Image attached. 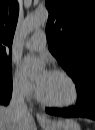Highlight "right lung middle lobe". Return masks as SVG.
Returning a JSON list of instances; mask_svg holds the SVG:
<instances>
[{
	"instance_id": "1",
	"label": "right lung middle lobe",
	"mask_w": 95,
	"mask_h": 130,
	"mask_svg": "<svg viewBox=\"0 0 95 130\" xmlns=\"http://www.w3.org/2000/svg\"><path fill=\"white\" fill-rule=\"evenodd\" d=\"M0 57V87L12 84V68L10 59Z\"/></svg>"
}]
</instances>
